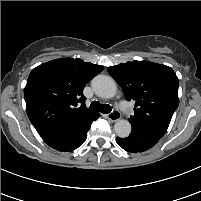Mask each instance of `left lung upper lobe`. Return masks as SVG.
Masks as SVG:
<instances>
[{"mask_svg":"<svg viewBox=\"0 0 201 201\" xmlns=\"http://www.w3.org/2000/svg\"><path fill=\"white\" fill-rule=\"evenodd\" d=\"M109 74L122 87L127 100L135 101L134 127L167 131L179 105V80L173 69L148 61H132L109 67Z\"/></svg>","mask_w":201,"mask_h":201,"instance_id":"1","label":"left lung upper lobe"}]
</instances>
